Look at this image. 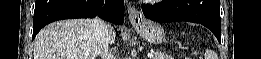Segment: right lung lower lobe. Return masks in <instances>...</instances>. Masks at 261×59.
I'll use <instances>...</instances> for the list:
<instances>
[{
	"instance_id": "98d812e1",
	"label": "right lung lower lobe",
	"mask_w": 261,
	"mask_h": 59,
	"mask_svg": "<svg viewBox=\"0 0 261 59\" xmlns=\"http://www.w3.org/2000/svg\"><path fill=\"white\" fill-rule=\"evenodd\" d=\"M98 16L114 24L124 22L123 0H36L33 18V36L47 24L73 18Z\"/></svg>"
}]
</instances>
